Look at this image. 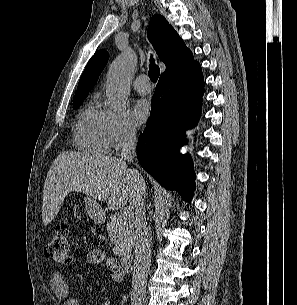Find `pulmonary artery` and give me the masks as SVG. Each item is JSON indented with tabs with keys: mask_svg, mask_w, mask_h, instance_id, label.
Returning a JSON list of instances; mask_svg holds the SVG:
<instances>
[{
	"mask_svg": "<svg viewBox=\"0 0 297 305\" xmlns=\"http://www.w3.org/2000/svg\"><path fill=\"white\" fill-rule=\"evenodd\" d=\"M134 89L140 94H149L151 91V86L148 81V77L145 74H141L133 81Z\"/></svg>",
	"mask_w": 297,
	"mask_h": 305,
	"instance_id": "1",
	"label": "pulmonary artery"
}]
</instances>
